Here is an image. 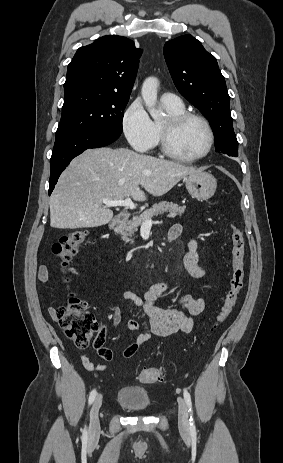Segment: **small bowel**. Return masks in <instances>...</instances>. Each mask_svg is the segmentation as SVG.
<instances>
[{
	"label": "small bowel",
	"instance_id": "obj_1",
	"mask_svg": "<svg viewBox=\"0 0 283 463\" xmlns=\"http://www.w3.org/2000/svg\"><path fill=\"white\" fill-rule=\"evenodd\" d=\"M182 234V226L174 224L169 230V238L174 240ZM188 251L183 257V264L188 274L194 279H202L206 276V269L199 265L198 242L195 237L189 239L187 243ZM70 271L76 274H84L76 267H71ZM50 276L48 266L40 267L38 279L40 282H46ZM171 297L176 307H160L156 305L157 300L163 297ZM124 300L132 302L140 311L141 316L145 319L144 323L131 319L127 323L128 330L131 333L141 331L140 334L131 341L130 345L124 350L123 357L129 358L138 350L140 346L146 343L152 336L168 337L174 333H190L194 326V317L201 314L205 309V300L202 297H194L190 294H175L170 287L164 282L154 283L150 289L139 296L133 291H124L122 293ZM49 311L55 315V310L50 307ZM121 317L119 308L113 309L112 324L117 327L120 324ZM105 335V333H104ZM135 348V352H129ZM83 366L92 372H99L105 369L103 365H95L85 355L80 356Z\"/></svg>",
	"mask_w": 283,
	"mask_h": 463
}]
</instances>
